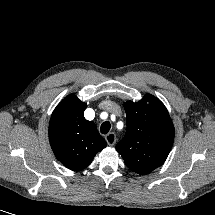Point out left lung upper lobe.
Wrapping results in <instances>:
<instances>
[{
  "label": "left lung upper lobe",
  "mask_w": 215,
  "mask_h": 215,
  "mask_svg": "<svg viewBox=\"0 0 215 215\" xmlns=\"http://www.w3.org/2000/svg\"><path fill=\"white\" fill-rule=\"evenodd\" d=\"M126 137L116 145L132 171L146 175L161 166L174 141V126L164 104L146 94L139 102L124 103Z\"/></svg>",
  "instance_id": "1"
}]
</instances>
